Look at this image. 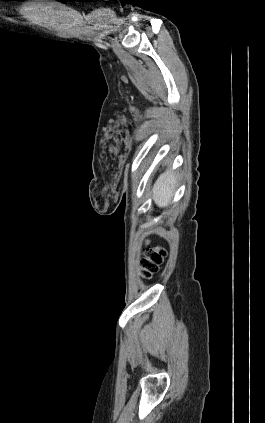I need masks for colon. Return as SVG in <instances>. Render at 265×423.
I'll list each match as a JSON object with an SVG mask.
<instances>
[{"label": "colon", "mask_w": 265, "mask_h": 423, "mask_svg": "<svg viewBox=\"0 0 265 423\" xmlns=\"http://www.w3.org/2000/svg\"><path fill=\"white\" fill-rule=\"evenodd\" d=\"M167 256V251L160 246L150 248L140 262V275L145 279L151 278Z\"/></svg>", "instance_id": "obj_1"}]
</instances>
